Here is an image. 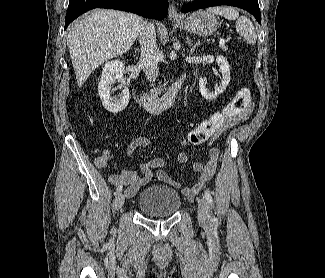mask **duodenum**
I'll return each mask as SVG.
<instances>
[{"label":"duodenum","instance_id":"410a0bca","mask_svg":"<svg viewBox=\"0 0 325 278\" xmlns=\"http://www.w3.org/2000/svg\"><path fill=\"white\" fill-rule=\"evenodd\" d=\"M185 80V75L181 77L171 86L167 93L161 98H152L147 95H140L138 100L146 109L152 113H160L170 108L176 101L177 94Z\"/></svg>","mask_w":325,"mask_h":278}]
</instances>
